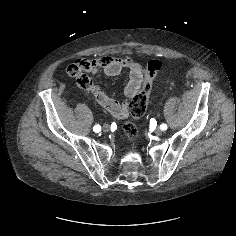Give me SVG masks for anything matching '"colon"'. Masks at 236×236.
<instances>
[{
  "mask_svg": "<svg viewBox=\"0 0 236 236\" xmlns=\"http://www.w3.org/2000/svg\"><path fill=\"white\" fill-rule=\"evenodd\" d=\"M77 60L75 62H78ZM70 65H68L69 67ZM67 67V72H68ZM161 68V61L159 59H152L147 62V65L144 69V78L141 91L133 98L131 103L130 114L134 119L141 118L146 111L149 94L154 82V79ZM124 132L127 137L134 139L138 136V127L133 121H129L124 125Z\"/></svg>",
  "mask_w": 236,
  "mask_h": 236,
  "instance_id": "5ec220e1",
  "label": "colon"
}]
</instances>
